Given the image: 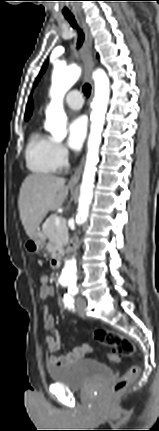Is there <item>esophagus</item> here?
Instances as JSON below:
<instances>
[{
    "label": "esophagus",
    "mask_w": 159,
    "mask_h": 431,
    "mask_svg": "<svg viewBox=\"0 0 159 431\" xmlns=\"http://www.w3.org/2000/svg\"><path fill=\"white\" fill-rule=\"evenodd\" d=\"M80 22L82 24V27L84 30V35H85L84 45H83V49H82V59L84 61L86 71H87L88 77H89L91 85H92V93H91V98H92L93 92H94V84H93L92 78H91V73H92V70L94 67V59H93V53H92L93 40H92V36L90 34V30H89L88 25L84 22L83 19H80ZM84 161H85V156H83L79 166L75 170L74 174L71 176L70 181H69L70 183H77L79 181L81 174H82Z\"/></svg>",
    "instance_id": "esophagus-1"
}]
</instances>
